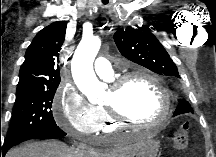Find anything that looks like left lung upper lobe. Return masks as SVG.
Segmentation results:
<instances>
[{"instance_id": "obj_1", "label": "left lung upper lobe", "mask_w": 216, "mask_h": 157, "mask_svg": "<svg viewBox=\"0 0 216 157\" xmlns=\"http://www.w3.org/2000/svg\"><path fill=\"white\" fill-rule=\"evenodd\" d=\"M113 37L118 50L125 58L157 74L180 77L173 60L149 28L119 29ZM184 102L186 101L179 100L178 105ZM185 109L193 111L190 105H187Z\"/></svg>"}]
</instances>
